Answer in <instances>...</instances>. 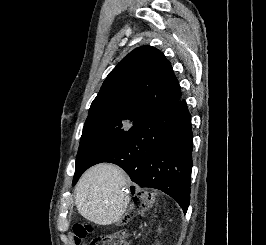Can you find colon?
<instances>
[{"label":"colon","instance_id":"obj_1","mask_svg":"<svg viewBox=\"0 0 266 245\" xmlns=\"http://www.w3.org/2000/svg\"><path fill=\"white\" fill-rule=\"evenodd\" d=\"M152 204L150 194L136 195L132 200V206L137 209L145 210ZM91 233V228L84 225H76L74 228V241L76 245L80 240L84 239L88 234ZM90 245H129L125 240V234H103L95 236L91 239Z\"/></svg>","mask_w":266,"mask_h":245}]
</instances>
